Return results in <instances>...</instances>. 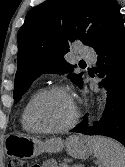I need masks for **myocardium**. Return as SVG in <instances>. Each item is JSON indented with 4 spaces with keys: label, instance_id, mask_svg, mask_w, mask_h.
Returning a JSON list of instances; mask_svg holds the SVG:
<instances>
[{
    "label": "myocardium",
    "instance_id": "obj_1",
    "mask_svg": "<svg viewBox=\"0 0 125 167\" xmlns=\"http://www.w3.org/2000/svg\"><path fill=\"white\" fill-rule=\"evenodd\" d=\"M55 92L65 93L71 98V100L73 102V106H74L73 116L68 123H66L65 125H63L61 127H58V128H44V127H41L35 120V116H34L35 115V110H36L38 104L40 103V101L43 98H45L47 95L55 93ZM79 115H80L79 108L77 106V103L74 100V97L71 93V90L64 85H58V84L57 85H51V86L41 90L36 95V97L33 99L32 103L29 107V113H28L30 123H31L32 127L34 128V130L36 132L44 133V134H55V133H61V132H65V131L70 130L71 128H73L76 125V123L79 119Z\"/></svg>",
    "mask_w": 125,
    "mask_h": 167
}]
</instances>
